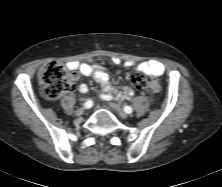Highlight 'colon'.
I'll use <instances>...</instances> for the list:
<instances>
[{
    "label": "colon",
    "instance_id": "colon-1",
    "mask_svg": "<svg viewBox=\"0 0 222 187\" xmlns=\"http://www.w3.org/2000/svg\"><path fill=\"white\" fill-rule=\"evenodd\" d=\"M76 73L57 62L44 65L39 71V81L47 99H56L74 88ZM136 82L140 89L146 91L154 100L157 98L158 84L149 76L138 75Z\"/></svg>",
    "mask_w": 222,
    "mask_h": 187
}]
</instances>
